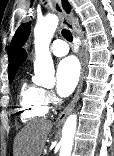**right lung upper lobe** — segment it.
Here are the masks:
<instances>
[{"mask_svg":"<svg viewBox=\"0 0 114 156\" xmlns=\"http://www.w3.org/2000/svg\"><path fill=\"white\" fill-rule=\"evenodd\" d=\"M63 4V8L67 11L70 12V5L66 0L62 1ZM27 57L26 51L24 49H21L17 55L15 56V58L13 59L12 62H10L9 64V68H8V75L9 77H13L15 75V73L17 72V70L19 69V67L23 64V62L25 61Z\"/></svg>","mask_w":114,"mask_h":156,"instance_id":"obj_1","label":"right lung upper lobe"}]
</instances>
